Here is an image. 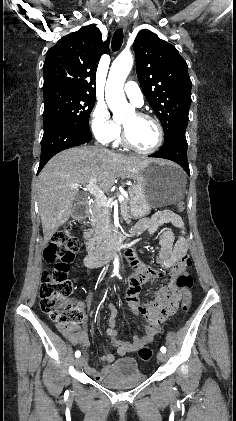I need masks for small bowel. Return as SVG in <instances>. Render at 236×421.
I'll return each instance as SVG.
<instances>
[{"label": "small bowel", "mask_w": 236, "mask_h": 421, "mask_svg": "<svg viewBox=\"0 0 236 421\" xmlns=\"http://www.w3.org/2000/svg\"><path fill=\"white\" fill-rule=\"evenodd\" d=\"M167 223L172 224L173 226L181 229L182 233H184V223H183L182 218L178 214L169 210L160 211L150 218H145V219L140 220L135 226L134 232L139 234L144 231H147L148 233L153 234L161 225L167 224ZM172 236L173 235L170 230H168L164 235L163 249L165 252L169 251V243L172 240ZM186 251H187L186 244L184 240L181 239V241L176 245L172 253L175 261L179 260L182 256H184L186 254ZM138 292H139V286H138V283H136L126 296V300L133 310H136V308L140 306L138 296H137ZM91 300H92V296H89L87 298V304H90ZM77 306L83 308L85 304L82 301H78ZM116 317H117L116 310L112 305H110L109 325H110V329H113L114 331H115L114 328L116 326ZM62 333L70 341H72V338L75 337L78 339L77 342H81L84 345L87 344V334L86 332L79 330V328H71V329L62 330ZM152 337L153 335L146 337L143 340V342H149L152 339Z\"/></svg>", "instance_id": "small-bowel-1"}]
</instances>
